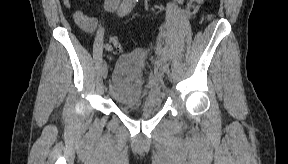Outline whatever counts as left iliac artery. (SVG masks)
Masks as SVG:
<instances>
[{"label":"left iliac artery","mask_w":288,"mask_h":164,"mask_svg":"<svg viewBox=\"0 0 288 164\" xmlns=\"http://www.w3.org/2000/svg\"><path fill=\"white\" fill-rule=\"evenodd\" d=\"M165 57H166V51H165L164 49H162V51H161V58H162V59H165Z\"/></svg>","instance_id":"left-iliac-artery-1"}]
</instances>
